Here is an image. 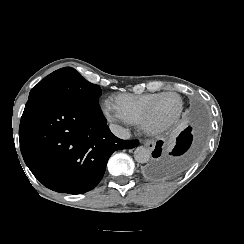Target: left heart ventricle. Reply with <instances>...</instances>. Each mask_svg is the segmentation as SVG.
Wrapping results in <instances>:
<instances>
[{
	"label": "left heart ventricle",
	"mask_w": 244,
	"mask_h": 244,
	"mask_svg": "<svg viewBox=\"0 0 244 244\" xmlns=\"http://www.w3.org/2000/svg\"><path fill=\"white\" fill-rule=\"evenodd\" d=\"M177 100L173 96H164L158 100L159 109L164 118H168L177 107Z\"/></svg>",
	"instance_id": "1"
}]
</instances>
